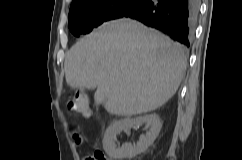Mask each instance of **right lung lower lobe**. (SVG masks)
Returning <instances> with one entry per match:
<instances>
[{
  "mask_svg": "<svg viewBox=\"0 0 242 160\" xmlns=\"http://www.w3.org/2000/svg\"><path fill=\"white\" fill-rule=\"evenodd\" d=\"M199 12V0H143L123 17L141 21L190 46Z\"/></svg>",
  "mask_w": 242,
  "mask_h": 160,
  "instance_id": "98d812e1",
  "label": "right lung lower lobe"
}]
</instances>
